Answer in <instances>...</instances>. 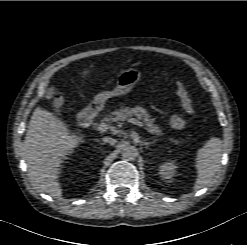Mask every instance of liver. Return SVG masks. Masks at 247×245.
I'll return each mask as SVG.
<instances>
[{
	"label": "liver",
	"instance_id": "1",
	"mask_svg": "<svg viewBox=\"0 0 247 245\" xmlns=\"http://www.w3.org/2000/svg\"><path fill=\"white\" fill-rule=\"evenodd\" d=\"M89 71H83L85 77ZM83 142L52 113L36 108L31 116L24 142L25 161L32 184L54 198H61L58 182L61 164Z\"/></svg>",
	"mask_w": 247,
	"mask_h": 245
}]
</instances>
